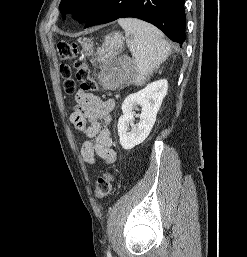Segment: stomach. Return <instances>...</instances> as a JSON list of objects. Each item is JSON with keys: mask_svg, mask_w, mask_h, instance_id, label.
Here are the masks:
<instances>
[{"mask_svg": "<svg viewBox=\"0 0 247 257\" xmlns=\"http://www.w3.org/2000/svg\"><path fill=\"white\" fill-rule=\"evenodd\" d=\"M124 37L119 32H113L106 37L105 44L94 51L91 41H82L81 45L85 55L92 57L95 61L104 64L110 59L116 58L122 49ZM137 68L131 62H125L117 71V86L129 83L136 77Z\"/></svg>", "mask_w": 247, "mask_h": 257, "instance_id": "1", "label": "stomach"}]
</instances>
